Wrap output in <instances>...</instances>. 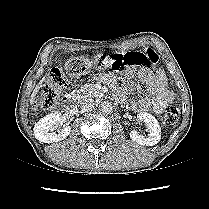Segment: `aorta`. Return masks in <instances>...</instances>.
<instances>
[{
    "label": "aorta",
    "instance_id": "1",
    "mask_svg": "<svg viewBox=\"0 0 209 209\" xmlns=\"http://www.w3.org/2000/svg\"><path fill=\"white\" fill-rule=\"evenodd\" d=\"M100 110L103 112V113H111L112 110H113V107H112V104L109 102V101H103L101 102L100 104Z\"/></svg>",
    "mask_w": 209,
    "mask_h": 209
}]
</instances>
